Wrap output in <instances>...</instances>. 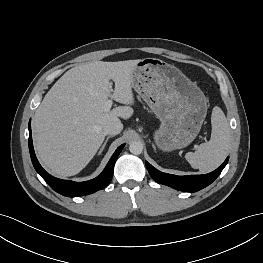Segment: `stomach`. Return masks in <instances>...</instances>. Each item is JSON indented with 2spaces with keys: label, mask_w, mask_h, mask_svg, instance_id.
Listing matches in <instances>:
<instances>
[{
  "label": "stomach",
  "mask_w": 263,
  "mask_h": 263,
  "mask_svg": "<svg viewBox=\"0 0 263 263\" xmlns=\"http://www.w3.org/2000/svg\"><path fill=\"white\" fill-rule=\"evenodd\" d=\"M132 87L160 120L154 140L162 151L188 146L207 114L201 89L177 67L156 58L138 60Z\"/></svg>",
  "instance_id": "0dacf381"
}]
</instances>
